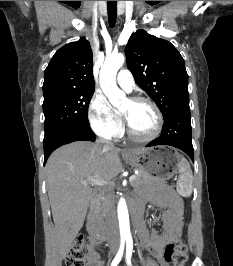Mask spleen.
Instances as JSON below:
<instances>
[{"label": "spleen", "mask_w": 233, "mask_h": 266, "mask_svg": "<svg viewBox=\"0 0 233 266\" xmlns=\"http://www.w3.org/2000/svg\"><path fill=\"white\" fill-rule=\"evenodd\" d=\"M180 172L179 180L177 182V192L183 197H189L192 193V171L188 161L181 157L178 165Z\"/></svg>", "instance_id": "spleen-1"}]
</instances>
